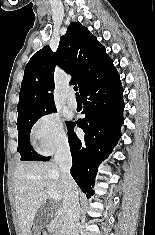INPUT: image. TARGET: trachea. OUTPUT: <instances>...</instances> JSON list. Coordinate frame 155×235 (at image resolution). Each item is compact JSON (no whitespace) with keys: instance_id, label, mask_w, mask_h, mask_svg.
Listing matches in <instances>:
<instances>
[{"instance_id":"3493384b","label":"trachea","mask_w":155,"mask_h":235,"mask_svg":"<svg viewBox=\"0 0 155 235\" xmlns=\"http://www.w3.org/2000/svg\"><path fill=\"white\" fill-rule=\"evenodd\" d=\"M74 91L76 92V96H79V94H78V87L77 86H74Z\"/></svg>"}]
</instances>
